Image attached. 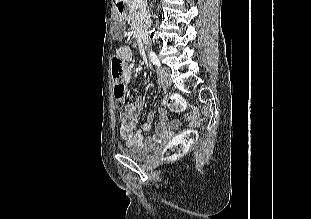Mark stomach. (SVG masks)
<instances>
[{
    "mask_svg": "<svg viewBox=\"0 0 311 219\" xmlns=\"http://www.w3.org/2000/svg\"><path fill=\"white\" fill-rule=\"evenodd\" d=\"M115 19H116L117 21H122L123 23H125L126 16L123 15V14L116 13Z\"/></svg>",
    "mask_w": 311,
    "mask_h": 219,
    "instance_id": "0dacf381",
    "label": "stomach"
}]
</instances>
